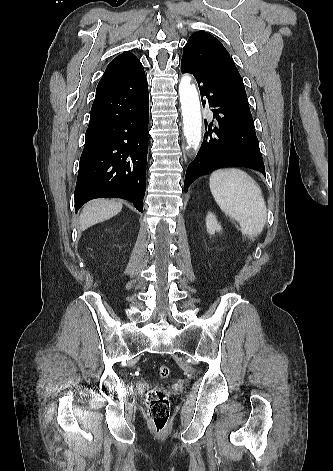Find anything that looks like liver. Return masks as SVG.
Masks as SVG:
<instances>
[{
    "instance_id": "6515ba94",
    "label": "liver",
    "mask_w": 333,
    "mask_h": 471,
    "mask_svg": "<svg viewBox=\"0 0 333 471\" xmlns=\"http://www.w3.org/2000/svg\"><path fill=\"white\" fill-rule=\"evenodd\" d=\"M122 209V203L116 200L97 199L87 203L79 218V228H87L116 216Z\"/></svg>"
}]
</instances>
